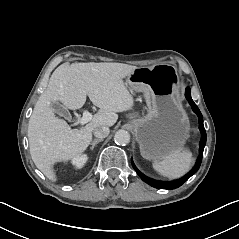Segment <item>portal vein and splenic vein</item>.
Wrapping results in <instances>:
<instances>
[{"instance_id": "18ae733b", "label": "portal vein and splenic vein", "mask_w": 239, "mask_h": 239, "mask_svg": "<svg viewBox=\"0 0 239 239\" xmlns=\"http://www.w3.org/2000/svg\"><path fill=\"white\" fill-rule=\"evenodd\" d=\"M91 120H92V114L90 112H88V111H84L83 112V116H82V118L80 120V123L82 125H84V124L90 122Z\"/></svg>"}]
</instances>
